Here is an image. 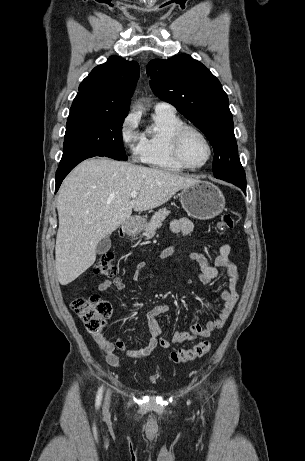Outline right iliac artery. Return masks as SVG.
<instances>
[{
	"instance_id": "82829eb1",
	"label": "right iliac artery",
	"mask_w": 305,
	"mask_h": 461,
	"mask_svg": "<svg viewBox=\"0 0 305 461\" xmlns=\"http://www.w3.org/2000/svg\"><path fill=\"white\" fill-rule=\"evenodd\" d=\"M102 392H103V387H100L98 392H97V396H96V407L98 408L100 403H101V399H102Z\"/></svg>"
}]
</instances>
